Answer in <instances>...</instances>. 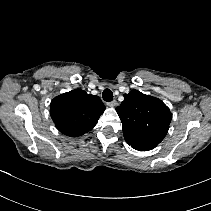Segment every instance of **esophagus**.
<instances>
[{
    "instance_id": "esophagus-1",
    "label": "esophagus",
    "mask_w": 211,
    "mask_h": 211,
    "mask_svg": "<svg viewBox=\"0 0 211 211\" xmlns=\"http://www.w3.org/2000/svg\"><path fill=\"white\" fill-rule=\"evenodd\" d=\"M107 105L109 107H115L117 105V102L115 100L111 101V102H108Z\"/></svg>"
}]
</instances>
